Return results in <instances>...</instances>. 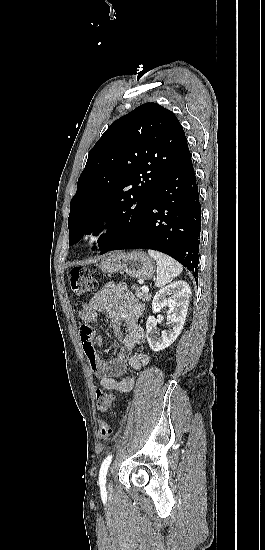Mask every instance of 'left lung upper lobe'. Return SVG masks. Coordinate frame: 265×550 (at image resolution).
<instances>
[{
  "label": "left lung upper lobe",
  "instance_id": "5c2ea615",
  "mask_svg": "<svg viewBox=\"0 0 265 550\" xmlns=\"http://www.w3.org/2000/svg\"><path fill=\"white\" fill-rule=\"evenodd\" d=\"M188 150L177 117L145 103L113 122L90 150L70 204L69 245L109 221L99 249L124 236L141 218L165 178Z\"/></svg>",
  "mask_w": 265,
  "mask_h": 550
}]
</instances>
